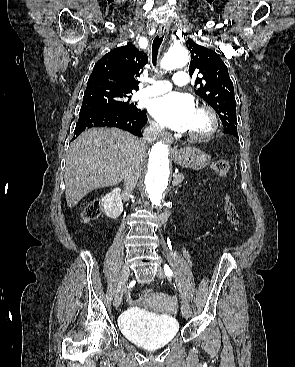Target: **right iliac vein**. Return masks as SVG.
Here are the masks:
<instances>
[{"mask_svg": "<svg viewBox=\"0 0 295 367\" xmlns=\"http://www.w3.org/2000/svg\"><path fill=\"white\" fill-rule=\"evenodd\" d=\"M129 273H130L129 266L125 265L123 270H122L121 277H120V280H119V288L120 289L118 291V295L116 296V298L114 300V306L116 308H118L121 304L123 288H124V286L126 285V283L128 281Z\"/></svg>", "mask_w": 295, "mask_h": 367, "instance_id": "obj_1", "label": "right iliac vein"}]
</instances>
